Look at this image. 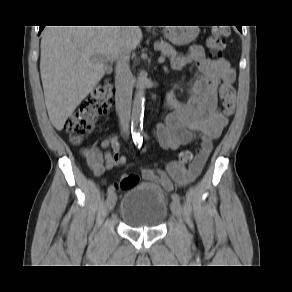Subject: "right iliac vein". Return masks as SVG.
Instances as JSON below:
<instances>
[{"label":"right iliac vein","mask_w":292,"mask_h":292,"mask_svg":"<svg viewBox=\"0 0 292 292\" xmlns=\"http://www.w3.org/2000/svg\"><path fill=\"white\" fill-rule=\"evenodd\" d=\"M116 201H117V196L113 192L108 196L107 201H106L107 212H110L115 207Z\"/></svg>","instance_id":"right-iliac-vein-1"}]
</instances>
